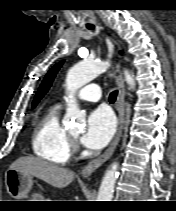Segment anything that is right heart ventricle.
<instances>
[{
  "instance_id": "1",
  "label": "right heart ventricle",
  "mask_w": 176,
  "mask_h": 211,
  "mask_svg": "<svg viewBox=\"0 0 176 211\" xmlns=\"http://www.w3.org/2000/svg\"><path fill=\"white\" fill-rule=\"evenodd\" d=\"M34 154L55 164H65L71 156V140L59 120V107L49 108L37 121L32 134Z\"/></svg>"
}]
</instances>
